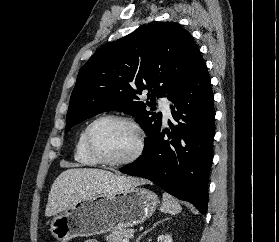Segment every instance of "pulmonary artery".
Here are the masks:
<instances>
[{"mask_svg":"<svg viewBox=\"0 0 279 242\" xmlns=\"http://www.w3.org/2000/svg\"><path fill=\"white\" fill-rule=\"evenodd\" d=\"M159 109L162 112L164 119H170L172 117L170 102L167 98L159 99Z\"/></svg>","mask_w":279,"mask_h":242,"instance_id":"pulmonary-artery-1","label":"pulmonary artery"}]
</instances>
